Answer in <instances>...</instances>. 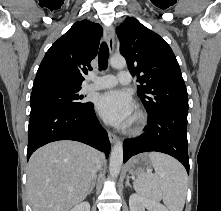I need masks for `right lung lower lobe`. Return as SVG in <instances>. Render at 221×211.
<instances>
[{"mask_svg":"<svg viewBox=\"0 0 221 211\" xmlns=\"http://www.w3.org/2000/svg\"><path fill=\"white\" fill-rule=\"evenodd\" d=\"M27 159L39 147L58 140H75L110 153V141L94 112L93 103L85 107H43L30 112Z\"/></svg>","mask_w":221,"mask_h":211,"instance_id":"98d812e1","label":"right lung lower lobe"}]
</instances>
